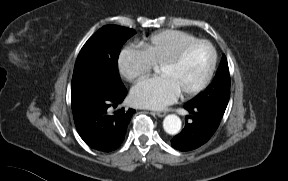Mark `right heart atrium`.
Returning <instances> with one entry per match:
<instances>
[{"label":"right heart atrium","instance_id":"right-heart-atrium-1","mask_svg":"<svg viewBox=\"0 0 288 181\" xmlns=\"http://www.w3.org/2000/svg\"><path fill=\"white\" fill-rule=\"evenodd\" d=\"M117 65L121 75L131 82L146 77L153 68L145 52L136 45L125 46L120 51Z\"/></svg>","mask_w":288,"mask_h":181}]
</instances>
